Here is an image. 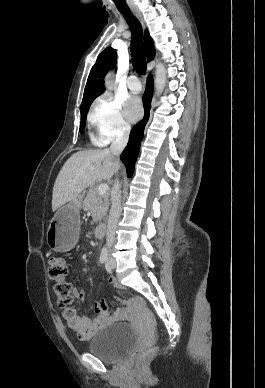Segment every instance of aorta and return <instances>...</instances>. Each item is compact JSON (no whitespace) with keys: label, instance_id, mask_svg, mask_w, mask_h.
Instances as JSON below:
<instances>
[{"label":"aorta","instance_id":"obj_1","mask_svg":"<svg viewBox=\"0 0 265 388\" xmlns=\"http://www.w3.org/2000/svg\"><path fill=\"white\" fill-rule=\"evenodd\" d=\"M165 83H166L165 66L162 63H158L156 66V77H155V88L158 96L163 92ZM105 85L110 90L115 88V85L109 74L106 76Z\"/></svg>","mask_w":265,"mask_h":388}]
</instances>
